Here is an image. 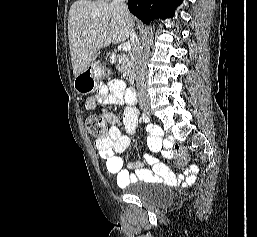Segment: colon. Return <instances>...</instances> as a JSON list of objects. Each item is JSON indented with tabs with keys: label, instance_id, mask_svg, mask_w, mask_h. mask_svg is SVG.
Returning <instances> with one entry per match:
<instances>
[{
	"label": "colon",
	"instance_id": "5ec220e1",
	"mask_svg": "<svg viewBox=\"0 0 257 237\" xmlns=\"http://www.w3.org/2000/svg\"><path fill=\"white\" fill-rule=\"evenodd\" d=\"M86 125L91 136L97 139H104L107 135L108 125L107 121L98 115H88L86 118ZM177 156L183 160L186 150L182 147L176 148Z\"/></svg>",
	"mask_w": 257,
	"mask_h": 237
}]
</instances>
